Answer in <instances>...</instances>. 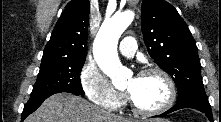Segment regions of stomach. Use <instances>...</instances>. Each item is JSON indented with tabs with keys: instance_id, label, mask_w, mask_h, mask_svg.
Here are the masks:
<instances>
[{
	"instance_id": "0dacf381",
	"label": "stomach",
	"mask_w": 221,
	"mask_h": 122,
	"mask_svg": "<svg viewBox=\"0 0 221 122\" xmlns=\"http://www.w3.org/2000/svg\"><path fill=\"white\" fill-rule=\"evenodd\" d=\"M146 122H169L168 120H165V119H159V118H157V119H150V120H148V121H146Z\"/></svg>"
}]
</instances>
